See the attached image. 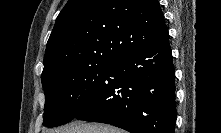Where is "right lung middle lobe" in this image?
I'll return each instance as SVG.
<instances>
[{
    "instance_id": "right-lung-middle-lobe-1",
    "label": "right lung middle lobe",
    "mask_w": 221,
    "mask_h": 133,
    "mask_svg": "<svg viewBox=\"0 0 221 133\" xmlns=\"http://www.w3.org/2000/svg\"><path fill=\"white\" fill-rule=\"evenodd\" d=\"M112 63L75 64L41 77L45 93L44 122L54 127L71 121L108 74Z\"/></svg>"
}]
</instances>
